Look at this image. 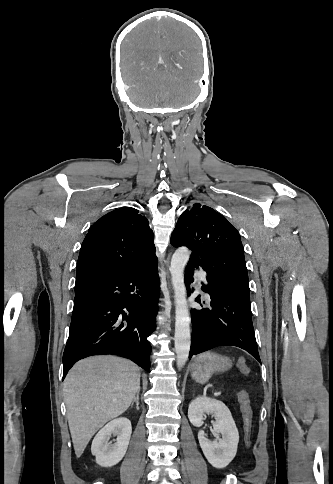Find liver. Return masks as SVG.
I'll return each mask as SVG.
<instances>
[{"instance_id": "1", "label": "liver", "mask_w": 333, "mask_h": 484, "mask_svg": "<svg viewBox=\"0 0 333 484\" xmlns=\"http://www.w3.org/2000/svg\"><path fill=\"white\" fill-rule=\"evenodd\" d=\"M63 386L69 429L79 458L97 430L129 408L140 390V372L129 360L95 356L77 362Z\"/></svg>"}]
</instances>
